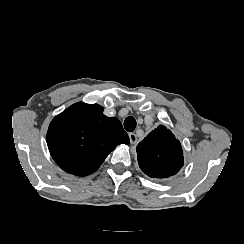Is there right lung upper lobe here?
<instances>
[{"label": "right lung upper lobe", "mask_w": 244, "mask_h": 244, "mask_svg": "<svg viewBox=\"0 0 244 244\" xmlns=\"http://www.w3.org/2000/svg\"><path fill=\"white\" fill-rule=\"evenodd\" d=\"M98 104L76 103L56 116L47 132V145L64 171L87 176L95 172L119 144H129L121 122L103 114Z\"/></svg>", "instance_id": "cb5924a9"}]
</instances>
